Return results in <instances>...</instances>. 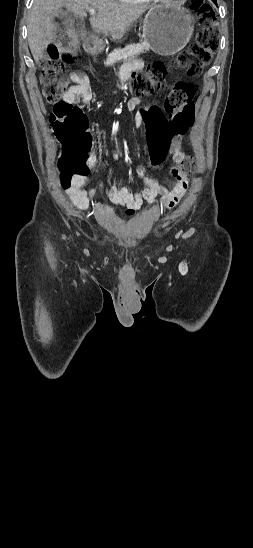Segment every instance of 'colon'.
I'll use <instances>...</instances> for the list:
<instances>
[{
    "label": "colon",
    "instance_id": "obj_1",
    "mask_svg": "<svg viewBox=\"0 0 253 548\" xmlns=\"http://www.w3.org/2000/svg\"><path fill=\"white\" fill-rule=\"evenodd\" d=\"M193 3L198 7L200 31L196 41L180 52L170 65L172 69L189 77L200 75L210 62L217 47L219 33L212 8L203 0H193ZM73 60V44L63 43L60 46H51L47 55L40 61L42 93L48 102L54 104L51 122L55 135L63 145L62 154L58 159L63 186L69 185L74 177L89 173L87 160L93 143L82 109L62 99L68 90L64 69ZM168 70L164 63L156 61L145 72L134 73L132 93L142 97L165 89ZM197 93V86L180 82L170 93L165 104L149 105L147 111L138 113L140 120L148 122L144 133L149 139L151 165L163 163L167 157V139L182 137L192 124L195 115L193 99ZM195 167L194 158L183 154L175 170L187 175L192 173Z\"/></svg>",
    "mask_w": 253,
    "mask_h": 548
}]
</instances>
